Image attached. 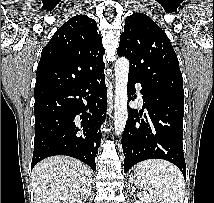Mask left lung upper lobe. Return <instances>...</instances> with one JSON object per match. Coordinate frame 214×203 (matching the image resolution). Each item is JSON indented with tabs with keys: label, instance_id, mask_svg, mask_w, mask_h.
<instances>
[{
	"label": "left lung upper lobe",
	"instance_id": "obj_1",
	"mask_svg": "<svg viewBox=\"0 0 214 203\" xmlns=\"http://www.w3.org/2000/svg\"><path fill=\"white\" fill-rule=\"evenodd\" d=\"M117 53L129 59V76L143 87L184 96L177 55L165 32L147 15L126 18Z\"/></svg>",
	"mask_w": 214,
	"mask_h": 203
}]
</instances>
